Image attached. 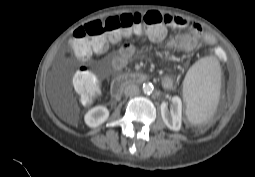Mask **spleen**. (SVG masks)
Listing matches in <instances>:
<instances>
[{"label":"spleen","mask_w":255,"mask_h":177,"mask_svg":"<svg viewBox=\"0 0 255 177\" xmlns=\"http://www.w3.org/2000/svg\"><path fill=\"white\" fill-rule=\"evenodd\" d=\"M220 84V64L215 57H204L190 67L183 83V99L192 124H202L213 116L219 100Z\"/></svg>","instance_id":"3e777b00"}]
</instances>
